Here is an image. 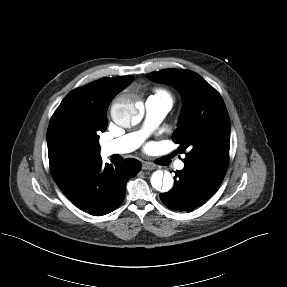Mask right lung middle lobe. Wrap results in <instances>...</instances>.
I'll return each instance as SVG.
<instances>
[{"label": "right lung middle lobe", "mask_w": 287, "mask_h": 287, "mask_svg": "<svg viewBox=\"0 0 287 287\" xmlns=\"http://www.w3.org/2000/svg\"><path fill=\"white\" fill-rule=\"evenodd\" d=\"M90 128H91V138L93 140V142L99 146V136H98V133L101 131H105L106 130V127L107 125H105L103 128H97L95 125H93L92 123L89 125Z\"/></svg>", "instance_id": "right-lung-middle-lobe-1"}]
</instances>
